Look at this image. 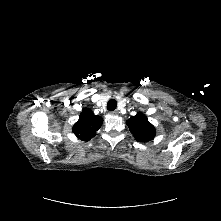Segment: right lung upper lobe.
Here are the masks:
<instances>
[{"label":"right lung upper lobe","mask_w":221,"mask_h":221,"mask_svg":"<svg viewBox=\"0 0 221 221\" xmlns=\"http://www.w3.org/2000/svg\"><path fill=\"white\" fill-rule=\"evenodd\" d=\"M103 119L100 116L94 115V113L85 108L80 116L79 120L73 126V133L83 141H89L96 135V131L102 126Z\"/></svg>","instance_id":"cb5924a9"}]
</instances>
